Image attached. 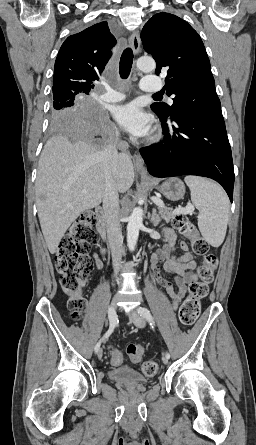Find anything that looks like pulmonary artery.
Segmentation results:
<instances>
[{
    "label": "pulmonary artery",
    "mask_w": 256,
    "mask_h": 445,
    "mask_svg": "<svg viewBox=\"0 0 256 445\" xmlns=\"http://www.w3.org/2000/svg\"><path fill=\"white\" fill-rule=\"evenodd\" d=\"M140 87L144 92H158L162 87V82L158 77L145 76L142 78ZM124 98V95L111 88H109L107 93L103 95L104 101L112 103L121 101Z\"/></svg>",
    "instance_id": "obj_1"
}]
</instances>
